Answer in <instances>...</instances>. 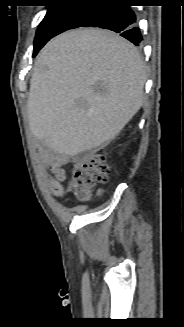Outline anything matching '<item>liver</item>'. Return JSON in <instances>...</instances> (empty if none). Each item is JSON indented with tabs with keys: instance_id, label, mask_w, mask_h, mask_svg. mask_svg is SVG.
<instances>
[{
	"instance_id": "obj_1",
	"label": "liver",
	"mask_w": 184,
	"mask_h": 327,
	"mask_svg": "<svg viewBox=\"0 0 184 327\" xmlns=\"http://www.w3.org/2000/svg\"><path fill=\"white\" fill-rule=\"evenodd\" d=\"M146 73L136 47L101 29L49 41L30 81L32 134L57 153L76 156L109 143L143 105Z\"/></svg>"
}]
</instances>
